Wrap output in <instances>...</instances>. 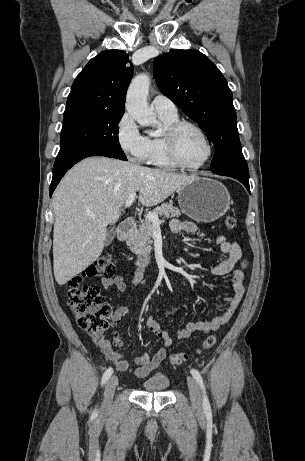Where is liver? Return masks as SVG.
<instances>
[{
	"label": "liver",
	"instance_id": "6515ba94",
	"mask_svg": "<svg viewBox=\"0 0 305 461\" xmlns=\"http://www.w3.org/2000/svg\"><path fill=\"white\" fill-rule=\"evenodd\" d=\"M195 177L105 157L86 158L75 165L53 195L56 282L66 284L98 259L108 225L118 221L132 192L138 191V201L151 207Z\"/></svg>",
	"mask_w": 305,
	"mask_h": 461
}]
</instances>
